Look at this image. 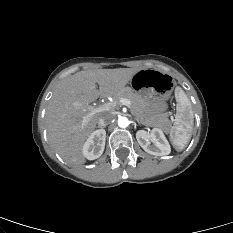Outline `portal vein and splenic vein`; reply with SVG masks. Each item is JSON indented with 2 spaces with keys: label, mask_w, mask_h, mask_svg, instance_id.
Masks as SVG:
<instances>
[{
  "label": "portal vein and splenic vein",
  "mask_w": 233,
  "mask_h": 233,
  "mask_svg": "<svg viewBox=\"0 0 233 233\" xmlns=\"http://www.w3.org/2000/svg\"><path fill=\"white\" fill-rule=\"evenodd\" d=\"M119 104H122V105H125L127 106L128 108H131V102L128 100V99H124V98H121L119 101H118ZM77 106H79L80 104H76ZM116 106V103H104L96 108H92V107H89L90 108V111L89 113L84 116L83 118V123L82 125H85V123L93 116L95 115L96 113H99V112H104V111H108L112 108H114Z\"/></svg>",
  "instance_id": "obj_1"
}]
</instances>
